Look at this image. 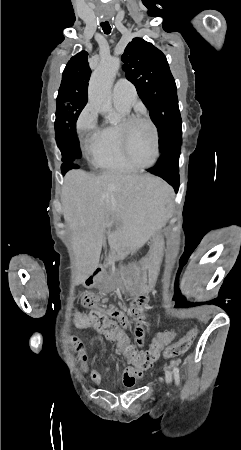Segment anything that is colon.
<instances>
[{
	"instance_id": "colon-1",
	"label": "colon",
	"mask_w": 241,
	"mask_h": 450,
	"mask_svg": "<svg viewBox=\"0 0 241 450\" xmlns=\"http://www.w3.org/2000/svg\"><path fill=\"white\" fill-rule=\"evenodd\" d=\"M70 322L80 328H91L92 326L99 328L100 332L110 338L114 347L120 351L124 356H128L130 364L137 366L139 371H148L152 364V359H157L160 352V346L166 342V337L173 335L171 328H166L160 336H156L150 343L149 350H133V347L128 343V338L123 332L118 330L114 325L101 316L99 313H86L85 315L74 313L70 317ZM195 332H190L184 338L178 340L174 347L167 346L163 350V358L167 359L170 356H181L186 354L187 349L193 346L195 339Z\"/></svg>"
}]
</instances>
